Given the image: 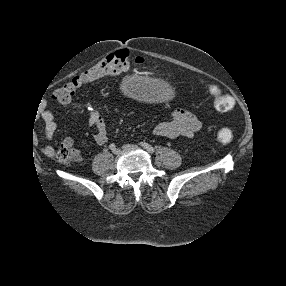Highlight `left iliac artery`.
I'll use <instances>...</instances> for the list:
<instances>
[{"instance_id": "obj_1", "label": "left iliac artery", "mask_w": 286, "mask_h": 286, "mask_svg": "<svg viewBox=\"0 0 286 286\" xmlns=\"http://www.w3.org/2000/svg\"><path fill=\"white\" fill-rule=\"evenodd\" d=\"M139 144H140L142 147H144L148 152L154 153V148H153L150 144H148V143H146V142H140Z\"/></svg>"}]
</instances>
